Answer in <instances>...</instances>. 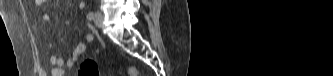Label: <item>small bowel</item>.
I'll return each mask as SVG.
<instances>
[{
	"label": "small bowel",
	"mask_w": 333,
	"mask_h": 76,
	"mask_svg": "<svg viewBox=\"0 0 333 76\" xmlns=\"http://www.w3.org/2000/svg\"><path fill=\"white\" fill-rule=\"evenodd\" d=\"M36 3L38 5H45L47 3V1L46 0H37ZM84 5H85L84 2H81L79 5L80 9H83ZM42 19L46 22H50L52 20V17L50 14L45 13L42 16ZM93 39H94V37L92 34H87L85 36L86 42L78 43L67 59H63L62 57H60L58 55L52 54L50 57V63L53 67L52 75L53 76H63L64 75L63 68L72 67L75 64V62L79 59V57L86 51V49H87L86 43H91L93 41Z\"/></svg>",
	"instance_id": "c3829d8e"
}]
</instances>
